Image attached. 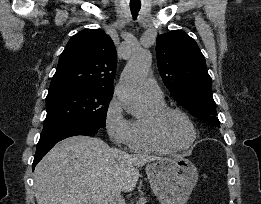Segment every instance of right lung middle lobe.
Masks as SVG:
<instances>
[{"instance_id":"dd1d6c3e","label":"right lung middle lobe","mask_w":261,"mask_h":204,"mask_svg":"<svg viewBox=\"0 0 261 204\" xmlns=\"http://www.w3.org/2000/svg\"><path fill=\"white\" fill-rule=\"evenodd\" d=\"M112 95V92L93 89H74L48 94L43 131L75 124L105 127Z\"/></svg>"}]
</instances>
